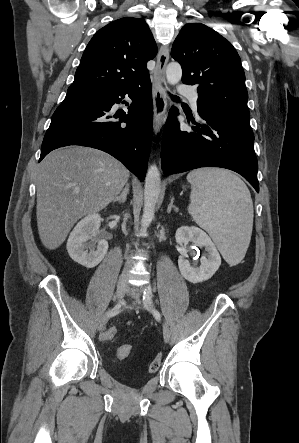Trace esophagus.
Here are the masks:
<instances>
[{
    "label": "esophagus",
    "mask_w": 299,
    "mask_h": 443,
    "mask_svg": "<svg viewBox=\"0 0 299 443\" xmlns=\"http://www.w3.org/2000/svg\"><path fill=\"white\" fill-rule=\"evenodd\" d=\"M169 60V46H161L158 56L156 73L153 80V103H154V132L159 133L166 120L167 97L161 81L165 79V69Z\"/></svg>",
    "instance_id": "1"
}]
</instances>
